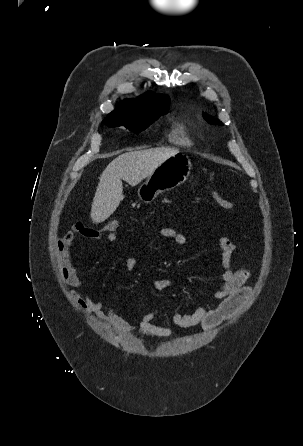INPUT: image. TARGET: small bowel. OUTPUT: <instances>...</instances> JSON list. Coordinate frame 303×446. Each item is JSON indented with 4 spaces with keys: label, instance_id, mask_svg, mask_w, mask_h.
Instances as JSON below:
<instances>
[{
    "label": "small bowel",
    "instance_id": "obj_1",
    "mask_svg": "<svg viewBox=\"0 0 303 446\" xmlns=\"http://www.w3.org/2000/svg\"><path fill=\"white\" fill-rule=\"evenodd\" d=\"M100 231L86 228L82 223L76 222L62 235L56 244L58 263L64 281L74 290L71 291L76 303L86 313H91L104 321L110 327L120 332H137L147 337L167 339L171 336L168 327L154 323L160 310L155 309L142 316H135L130 321L121 317L115 310L102 300H94L90 297V287L77 274L72 260V249L76 236H83L92 240H100L103 237ZM160 238L170 240L182 246L188 243V237L171 227H161L156 231ZM109 242L119 243L121 239L116 235H104ZM221 249L222 279L217 287L214 298L210 304L197 307L192 313L176 312L173 322L180 328H188L201 325L204 330H211L225 319L229 318L249 297L250 288L246 285L250 273L246 269L234 270L232 268V256L235 252V244L226 237L219 239ZM136 259L129 255L125 259L128 270L136 267ZM176 281L172 279H158L153 283V289L157 292L173 288Z\"/></svg>",
    "mask_w": 303,
    "mask_h": 446
}]
</instances>
